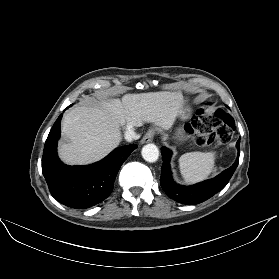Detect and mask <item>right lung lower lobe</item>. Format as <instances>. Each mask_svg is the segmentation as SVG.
<instances>
[{
	"label": "right lung lower lobe",
	"mask_w": 279,
	"mask_h": 279,
	"mask_svg": "<svg viewBox=\"0 0 279 279\" xmlns=\"http://www.w3.org/2000/svg\"><path fill=\"white\" fill-rule=\"evenodd\" d=\"M62 114L54 123L46 140L42 158V173L50 193L60 203L85 209L106 199L113 190L115 177L134 149L135 144L113 150L101 161L86 166H68L56 155Z\"/></svg>",
	"instance_id": "obj_1"
}]
</instances>
